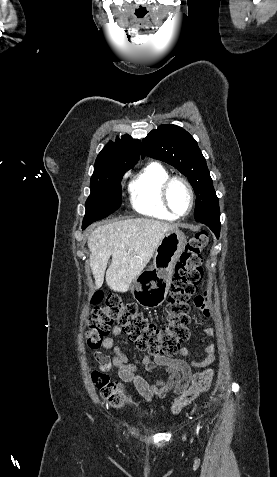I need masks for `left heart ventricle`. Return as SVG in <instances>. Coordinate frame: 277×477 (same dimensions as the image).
<instances>
[{
  "label": "left heart ventricle",
  "instance_id": "b2bd125f",
  "mask_svg": "<svg viewBox=\"0 0 277 477\" xmlns=\"http://www.w3.org/2000/svg\"><path fill=\"white\" fill-rule=\"evenodd\" d=\"M169 199L173 209L177 213L184 214L188 211L190 197L188 190L183 183L176 181L171 185Z\"/></svg>",
  "mask_w": 277,
  "mask_h": 477
}]
</instances>
